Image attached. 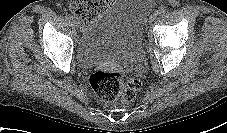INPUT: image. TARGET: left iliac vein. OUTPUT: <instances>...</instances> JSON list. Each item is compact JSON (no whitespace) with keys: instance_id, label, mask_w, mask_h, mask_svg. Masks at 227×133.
Returning <instances> with one entry per match:
<instances>
[{"instance_id":"4c4485c4","label":"left iliac vein","mask_w":227,"mask_h":133,"mask_svg":"<svg viewBox=\"0 0 227 133\" xmlns=\"http://www.w3.org/2000/svg\"><path fill=\"white\" fill-rule=\"evenodd\" d=\"M156 18H157V15H156L155 13H153V14L149 17V23H152Z\"/></svg>"}]
</instances>
